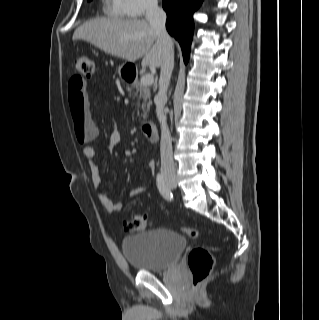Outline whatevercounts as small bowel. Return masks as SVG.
<instances>
[{
    "instance_id": "small-bowel-1",
    "label": "small bowel",
    "mask_w": 319,
    "mask_h": 320,
    "mask_svg": "<svg viewBox=\"0 0 319 320\" xmlns=\"http://www.w3.org/2000/svg\"><path fill=\"white\" fill-rule=\"evenodd\" d=\"M69 106L72 116L76 113H82L89 124L94 129L95 137L100 133V127L97 126L90 117L89 113V101L87 96L86 82L78 77H72L69 80ZM120 133L118 131H112L108 137V148L113 149L120 142ZM84 157L89 161V174L90 180L94 188L98 191V200L109 213H114L122 210L123 204L121 202L113 201L106 192L102 190V177L100 175L99 167L95 162L96 153L92 146H86L83 149ZM148 167L153 170L155 165L153 161L148 162ZM146 191L144 186L132 188L128 191L127 195L130 198L139 196Z\"/></svg>"
}]
</instances>
